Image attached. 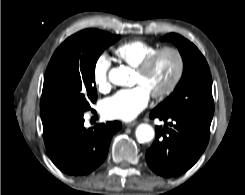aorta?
I'll return each mask as SVG.
<instances>
[{
    "label": "aorta",
    "mask_w": 245,
    "mask_h": 195,
    "mask_svg": "<svg viewBox=\"0 0 245 195\" xmlns=\"http://www.w3.org/2000/svg\"><path fill=\"white\" fill-rule=\"evenodd\" d=\"M109 80L118 86H128L129 71L125 67L113 68L109 72ZM136 138L140 143L150 142L154 138V129L148 124H140L136 129Z\"/></svg>",
    "instance_id": "1"
}]
</instances>
